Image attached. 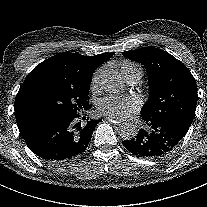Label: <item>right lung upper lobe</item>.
Returning a JSON list of instances; mask_svg holds the SVG:
<instances>
[{
	"instance_id": "1",
	"label": "right lung upper lobe",
	"mask_w": 207,
	"mask_h": 207,
	"mask_svg": "<svg viewBox=\"0 0 207 207\" xmlns=\"http://www.w3.org/2000/svg\"><path fill=\"white\" fill-rule=\"evenodd\" d=\"M114 53L84 56L77 53H59L37 65L23 84L35 79L66 83L79 89H89L93 72ZM18 128L24 125L16 119Z\"/></svg>"
}]
</instances>
